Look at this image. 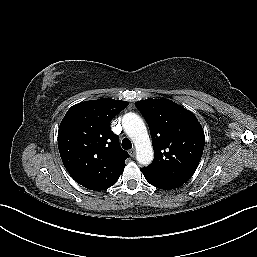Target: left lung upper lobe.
<instances>
[{
    "instance_id": "1",
    "label": "left lung upper lobe",
    "mask_w": 257,
    "mask_h": 257,
    "mask_svg": "<svg viewBox=\"0 0 257 257\" xmlns=\"http://www.w3.org/2000/svg\"><path fill=\"white\" fill-rule=\"evenodd\" d=\"M135 105L149 125L155 154L153 162L143 169L151 174L167 171L190 179L205 145L204 131L196 116L165 98H149Z\"/></svg>"
}]
</instances>
